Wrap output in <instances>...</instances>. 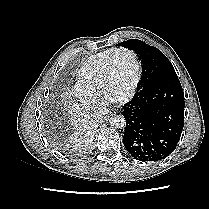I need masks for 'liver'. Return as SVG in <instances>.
<instances>
[{
  "mask_svg": "<svg viewBox=\"0 0 209 209\" xmlns=\"http://www.w3.org/2000/svg\"><path fill=\"white\" fill-rule=\"evenodd\" d=\"M64 105L68 110L74 125L72 143L80 144L84 142L91 134V130L94 126L93 122L89 119V116L84 111H82L78 104L70 101H65Z\"/></svg>",
  "mask_w": 209,
  "mask_h": 209,
  "instance_id": "obj_1",
  "label": "liver"
}]
</instances>
